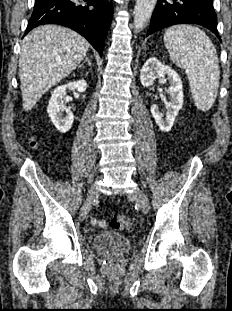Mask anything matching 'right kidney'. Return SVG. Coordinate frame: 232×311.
<instances>
[{
    "mask_svg": "<svg viewBox=\"0 0 232 311\" xmlns=\"http://www.w3.org/2000/svg\"><path fill=\"white\" fill-rule=\"evenodd\" d=\"M67 88L71 90L76 89L79 92H84L87 88V83L82 79L68 83L66 85L58 86L54 90L49 100L47 112L52 123L61 133L68 132L71 129L74 121V115L71 112V109L67 108L63 102V97ZM63 112H65V115H63Z\"/></svg>",
    "mask_w": 232,
    "mask_h": 311,
    "instance_id": "1",
    "label": "right kidney"
}]
</instances>
